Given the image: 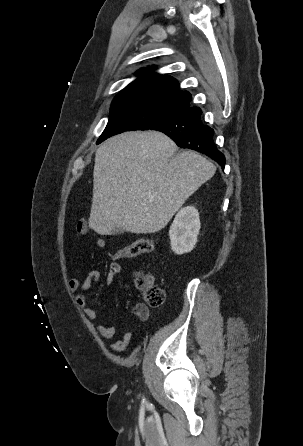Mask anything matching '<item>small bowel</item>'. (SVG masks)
Segmentation results:
<instances>
[{
  "instance_id": "1",
  "label": "small bowel",
  "mask_w": 303,
  "mask_h": 446,
  "mask_svg": "<svg viewBox=\"0 0 303 446\" xmlns=\"http://www.w3.org/2000/svg\"><path fill=\"white\" fill-rule=\"evenodd\" d=\"M88 224L85 220H80L76 227V233L78 236H85L88 233ZM96 245L100 248L105 246V241L102 238L96 239ZM71 259V250L66 253V261ZM122 267L118 262H113L110 265L109 272L106 275L105 282L107 285H112L116 277L121 273ZM100 272L97 270L91 271L86 278L81 279L79 277H73L69 280V288L71 291H78L77 305L82 310L84 315L90 319H96L98 312L88 306L87 293L92 285L97 284L100 281ZM132 314L140 321H146L149 318V307L144 303H136L133 305ZM97 333L104 339L112 340L117 336L116 327L113 325L105 326L101 324L95 325ZM132 340V334L130 332L121 333L115 341L109 343V347L113 351H121L128 347Z\"/></svg>"
}]
</instances>
